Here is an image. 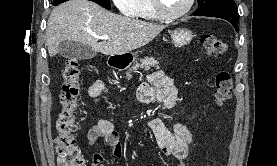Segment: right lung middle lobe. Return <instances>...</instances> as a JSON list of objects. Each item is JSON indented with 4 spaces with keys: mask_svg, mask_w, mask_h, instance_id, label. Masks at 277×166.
Listing matches in <instances>:
<instances>
[{
    "mask_svg": "<svg viewBox=\"0 0 277 166\" xmlns=\"http://www.w3.org/2000/svg\"><path fill=\"white\" fill-rule=\"evenodd\" d=\"M65 1H68V0H53V4H61ZM90 1H93L106 9L111 8L110 0H90Z\"/></svg>",
    "mask_w": 277,
    "mask_h": 166,
    "instance_id": "right-lung-middle-lobe-1",
    "label": "right lung middle lobe"
}]
</instances>
